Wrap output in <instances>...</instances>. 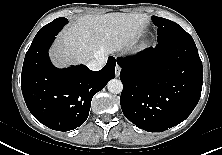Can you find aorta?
<instances>
[{"mask_svg": "<svg viewBox=\"0 0 222 155\" xmlns=\"http://www.w3.org/2000/svg\"><path fill=\"white\" fill-rule=\"evenodd\" d=\"M108 91L113 94H119L122 92L123 84L118 79H112L107 84Z\"/></svg>", "mask_w": 222, "mask_h": 155, "instance_id": "1", "label": "aorta"}]
</instances>
